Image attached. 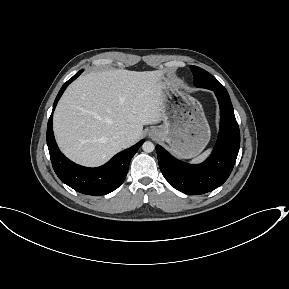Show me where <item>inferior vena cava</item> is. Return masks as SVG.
<instances>
[{
    "label": "inferior vena cava",
    "mask_w": 289,
    "mask_h": 289,
    "mask_svg": "<svg viewBox=\"0 0 289 289\" xmlns=\"http://www.w3.org/2000/svg\"><path fill=\"white\" fill-rule=\"evenodd\" d=\"M116 138L120 144H123L126 141V136L124 134H118Z\"/></svg>",
    "instance_id": "inferior-vena-cava-1"
}]
</instances>
